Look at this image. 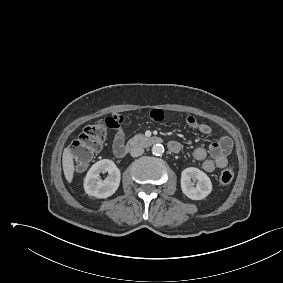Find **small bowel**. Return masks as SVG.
<instances>
[{"label": "small bowel", "mask_w": 283, "mask_h": 283, "mask_svg": "<svg viewBox=\"0 0 283 283\" xmlns=\"http://www.w3.org/2000/svg\"><path fill=\"white\" fill-rule=\"evenodd\" d=\"M150 117L154 121L163 119V112L159 109L150 111ZM108 126L114 130L113 151L117 157H122L121 152L124 147L125 132L121 126L123 116L120 114H113L106 119ZM186 124L193 130L200 132L203 135H210L211 127L194 116L186 117ZM169 148L173 153H179L182 150L180 143L172 141ZM232 150V140L230 137L223 135L217 141L210 144L208 149L198 147L193 152V157L197 161H201L202 169L205 172H213L217 168L221 169L227 166L228 156Z\"/></svg>", "instance_id": "1"}]
</instances>
